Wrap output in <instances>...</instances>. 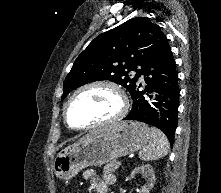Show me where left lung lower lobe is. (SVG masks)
Returning a JSON list of instances; mask_svg holds the SVG:
<instances>
[{
    "instance_id": "0a47b994",
    "label": "left lung lower lobe",
    "mask_w": 221,
    "mask_h": 193,
    "mask_svg": "<svg viewBox=\"0 0 221 193\" xmlns=\"http://www.w3.org/2000/svg\"><path fill=\"white\" fill-rule=\"evenodd\" d=\"M147 83L144 91L137 84L131 96L133 106L125 120L140 121L162 130L174 142L178 123L179 85L178 73L170 46L166 43L160 52L142 68ZM139 76V77H140ZM144 94L147 96L144 97Z\"/></svg>"
}]
</instances>
